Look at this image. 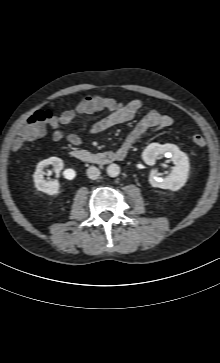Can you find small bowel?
<instances>
[{"label": "small bowel", "mask_w": 220, "mask_h": 363, "mask_svg": "<svg viewBox=\"0 0 220 363\" xmlns=\"http://www.w3.org/2000/svg\"><path fill=\"white\" fill-rule=\"evenodd\" d=\"M143 108L141 100L133 99L126 102H118L115 99L101 96H91L78 103L75 109L66 110L50 122L55 141L66 140L72 146L79 148L82 145L81 138L76 134H66L62 127L73 122L79 115H93L100 111L107 114L89 126V131L98 134L110 128L129 122ZM173 119L169 115L157 110H149L143 114L135 128L129 134L123 148L130 149L145 133L170 127Z\"/></svg>", "instance_id": "obj_1"}]
</instances>
